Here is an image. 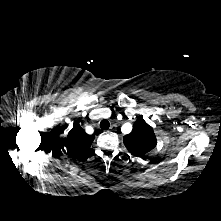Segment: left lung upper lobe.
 <instances>
[{
  "label": "left lung upper lobe",
  "mask_w": 221,
  "mask_h": 221,
  "mask_svg": "<svg viewBox=\"0 0 221 221\" xmlns=\"http://www.w3.org/2000/svg\"><path fill=\"white\" fill-rule=\"evenodd\" d=\"M123 141L129 152L138 157L150 152L157 144L152 127L142 116H138L132 132L124 136Z\"/></svg>",
  "instance_id": "5c2ea615"
}]
</instances>
